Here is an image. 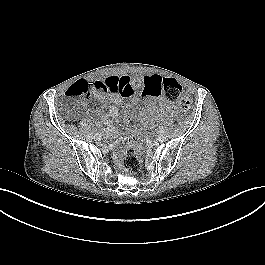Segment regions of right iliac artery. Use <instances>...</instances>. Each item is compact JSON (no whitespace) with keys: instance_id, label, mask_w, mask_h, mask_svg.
I'll use <instances>...</instances> for the list:
<instances>
[{"instance_id":"obj_1","label":"right iliac artery","mask_w":265,"mask_h":265,"mask_svg":"<svg viewBox=\"0 0 265 265\" xmlns=\"http://www.w3.org/2000/svg\"><path fill=\"white\" fill-rule=\"evenodd\" d=\"M88 137H89V138H93V133H89V134H88Z\"/></svg>"}]
</instances>
